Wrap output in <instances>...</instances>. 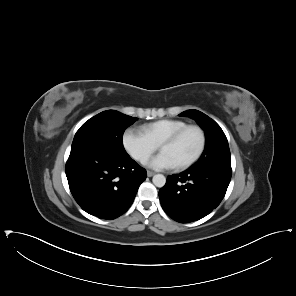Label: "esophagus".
<instances>
[{
  "instance_id": "obj_1",
  "label": "esophagus",
  "mask_w": 296,
  "mask_h": 296,
  "mask_svg": "<svg viewBox=\"0 0 296 296\" xmlns=\"http://www.w3.org/2000/svg\"><path fill=\"white\" fill-rule=\"evenodd\" d=\"M154 174H155V173L152 172V171H147V176H148V177H152Z\"/></svg>"
}]
</instances>
